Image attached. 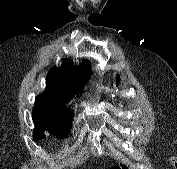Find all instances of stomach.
I'll return each instance as SVG.
<instances>
[{"instance_id":"obj_1","label":"stomach","mask_w":177,"mask_h":169,"mask_svg":"<svg viewBox=\"0 0 177 169\" xmlns=\"http://www.w3.org/2000/svg\"><path fill=\"white\" fill-rule=\"evenodd\" d=\"M112 169H128V168L124 164H117V165L113 166Z\"/></svg>"}]
</instances>
